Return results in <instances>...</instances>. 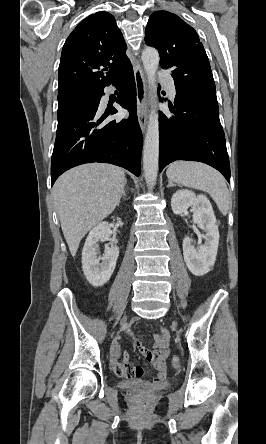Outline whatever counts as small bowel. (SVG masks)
<instances>
[{"instance_id": "c3829d8e", "label": "small bowel", "mask_w": 266, "mask_h": 444, "mask_svg": "<svg viewBox=\"0 0 266 444\" xmlns=\"http://www.w3.org/2000/svg\"><path fill=\"white\" fill-rule=\"evenodd\" d=\"M155 349L150 350L145 348L140 341H136L135 345L138 351L153 364L157 371L156 376L151 380L144 379L143 369L139 366L130 364L129 355L124 353L121 361L114 360L113 365L115 372L121 376L138 382L144 385L155 386L164 383L166 379L167 365L166 359L168 356L169 335L166 330H161L154 334ZM120 349L119 341L115 340L112 346L113 355L116 357Z\"/></svg>"}]
</instances>
